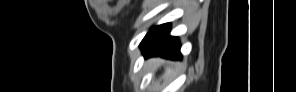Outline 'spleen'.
Listing matches in <instances>:
<instances>
[{
	"instance_id": "1",
	"label": "spleen",
	"mask_w": 296,
	"mask_h": 92,
	"mask_svg": "<svg viewBox=\"0 0 296 92\" xmlns=\"http://www.w3.org/2000/svg\"><path fill=\"white\" fill-rule=\"evenodd\" d=\"M168 73H169V74L171 73V70H170V69L168 70Z\"/></svg>"
}]
</instances>
